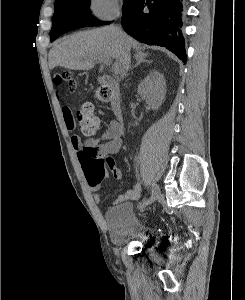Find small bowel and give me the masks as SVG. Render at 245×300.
I'll return each instance as SVG.
<instances>
[{"instance_id":"1","label":"small bowel","mask_w":245,"mask_h":300,"mask_svg":"<svg viewBox=\"0 0 245 300\" xmlns=\"http://www.w3.org/2000/svg\"><path fill=\"white\" fill-rule=\"evenodd\" d=\"M59 102L61 103V112L66 128L68 131L73 132L75 129V120L73 114L70 108L64 104L60 98ZM123 134V125L118 121H111L99 140H87L82 142L77 135H72L71 145L76 151L81 165L82 152L87 149H95L97 152V157L106 162L112 172L113 177L116 180H120L122 178V173L120 169L116 167L113 155L116 154L121 148ZM140 194L141 185L140 183H136L132 189L122 194L118 201L122 202L125 200H135L139 198ZM93 199L96 203H99L101 201V195L99 193H95Z\"/></svg>"}]
</instances>
